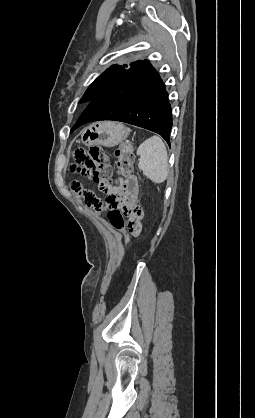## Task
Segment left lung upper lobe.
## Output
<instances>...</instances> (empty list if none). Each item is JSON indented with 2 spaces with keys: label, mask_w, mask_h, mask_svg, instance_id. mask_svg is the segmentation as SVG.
I'll list each match as a JSON object with an SVG mask.
<instances>
[{
  "label": "left lung upper lobe",
  "mask_w": 255,
  "mask_h": 418,
  "mask_svg": "<svg viewBox=\"0 0 255 418\" xmlns=\"http://www.w3.org/2000/svg\"><path fill=\"white\" fill-rule=\"evenodd\" d=\"M140 61L132 62L130 65H112L105 72H103L95 81L88 87L79 103L91 102L102 91H104L111 83L118 79L127 69L138 64ZM76 128H72L71 132Z\"/></svg>",
  "instance_id": "left-lung-upper-lobe-1"
}]
</instances>
